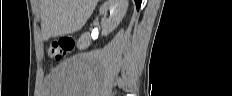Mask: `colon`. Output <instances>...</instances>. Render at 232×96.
Instances as JSON below:
<instances>
[{"mask_svg": "<svg viewBox=\"0 0 232 96\" xmlns=\"http://www.w3.org/2000/svg\"><path fill=\"white\" fill-rule=\"evenodd\" d=\"M74 47V41L70 38H64L53 42L48 48V55L50 58L61 61L67 53Z\"/></svg>", "mask_w": 232, "mask_h": 96, "instance_id": "1", "label": "colon"}]
</instances>
